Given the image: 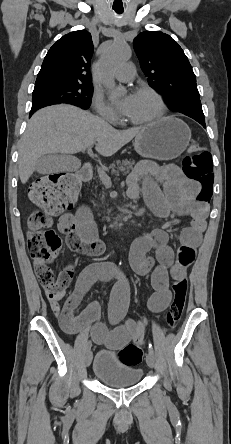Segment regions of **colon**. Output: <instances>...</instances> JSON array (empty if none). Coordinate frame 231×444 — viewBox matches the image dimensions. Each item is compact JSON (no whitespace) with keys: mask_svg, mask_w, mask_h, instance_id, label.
<instances>
[{"mask_svg":"<svg viewBox=\"0 0 231 444\" xmlns=\"http://www.w3.org/2000/svg\"><path fill=\"white\" fill-rule=\"evenodd\" d=\"M183 172L187 178L200 184L198 200L207 203L211 199L213 167L211 154L197 142H192L183 159ZM80 189V181L73 174L55 173L34 181L29 188L32 203L42 209L31 214L28 221L27 243L34 264L39 266L37 277L42 288L50 293H59L69 284L73 270L65 268L57 278L47 266L55 259L61 249V240L49 229L52 218L74 205ZM188 291L185 277L173 283V300L166 313V324L173 328L180 320ZM128 364H138L143 355L140 341L128 344L118 352Z\"/></svg>","mask_w":231,"mask_h":444,"instance_id":"1","label":"colon"}]
</instances>
